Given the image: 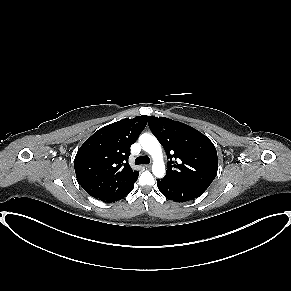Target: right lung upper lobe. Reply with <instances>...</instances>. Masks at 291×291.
<instances>
[{"mask_svg":"<svg viewBox=\"0 0 291 291\" xmlns=\"http://www.w3.org/2000/svg\"><path fill=\"white\" fill-rule=\"evenodd\" d=\"M148 116L125 118L96 131L79 148L74 167L81 187L92 197L109 201L125 192L138 177L128 164L130 147Z\"/></svg>","mask_w":291,"mask_h":291,"instance_id":"1","label":"right lung upper lobe"}]
</instances>
